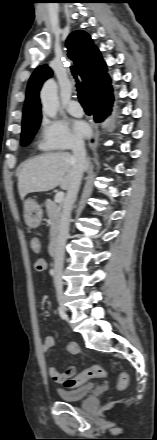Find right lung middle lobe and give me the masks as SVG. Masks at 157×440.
Returning a JSON list of instances; mask_svg holds the SVG:
<instances>
[{
    "mask_svg": "<svg viewBox=\"0 0 157 440\" xmlns=\"http://www.w3.org/2000/svg\"><path fill=\"white\" fill-rule=\"evenodd\" d=\"M40 123H33L22 126L21 134V145L26 146L32 140L34 134L36 133Z\"/></svg>",
    "mask_w": 157,
    "mask_h": 440,
    "instance_id": "1",
    "label": "right lung middle lobe"
}]
</instances>
